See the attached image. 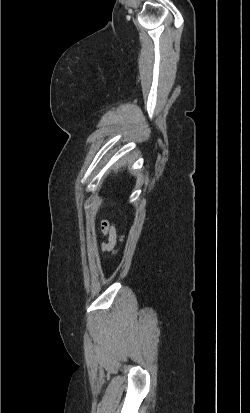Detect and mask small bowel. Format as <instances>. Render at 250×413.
<instances>
[{"mask_svg":"<svg viewBox=\"0 0 250 413\" xmlns=\"http://www.w3.org/2000/svg\"><path fill=\"white\" fill-rule=\"evenodd\" d=\"M101 230L107 237V241L102 244V248L105 251H109L114 248L116 244V230L115 227L107 221H103L101 224Z\"/></svg>","mask_w":250,"mask_h":413,"instance_id":"c3829d8e","label":"small bowel"}]
</instances>
